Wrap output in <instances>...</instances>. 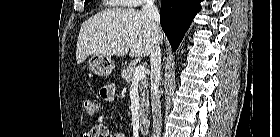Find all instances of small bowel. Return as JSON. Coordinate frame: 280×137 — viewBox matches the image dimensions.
I'll return each mask as SVG.
<instances>
[{
	"mask_svg": "<svg viewBox=\"0 0 280 137\" xmlns=\"http://www.w3.org/2000/svg\"><path fill=\"white\" fill-rule=\"evenodd\" d=\"M104 91L109 94L112 93L113 95H115L116 87L114 84H108L104 86L101 89V96H103ZM91 133H98L100 135L99 137H124L121 133H115L112 135L109 134V129L103 123V115L98 117L96 122L86 131L84 137H88Z\"/></svg>",
	"mask_w": 280,
	"mask_h": 137,
	"instance_id": "1",
	"label": "small bowel"
}]
</instances>
